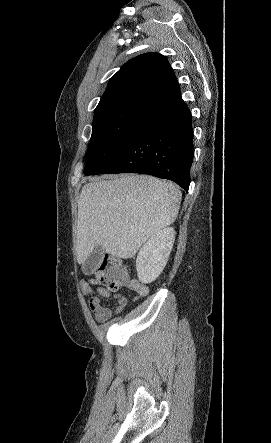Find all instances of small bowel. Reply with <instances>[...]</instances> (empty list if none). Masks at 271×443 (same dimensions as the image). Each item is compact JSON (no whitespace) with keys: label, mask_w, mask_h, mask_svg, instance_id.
Returning <instances> with one entry per match:
<instances>
[{"label":"small bowel","mask_w":271,"mask_h":443,"mask_svg":"<svg viewBox=\"0 0 271 443\" xmlns=\"http://www.w3.org/2000/svg\"><path fill=\"white\" fill-rule=\"evenodd\" d=\"M80 288L84 294L90 295L94 292V288L85 280L80 281ZM132 288L138 292L140 296H144L147 294V289L135 283L132 284ZM97 293L102 297H111V294L108 290L97 287ZM87 304L90 310L93 312L96 322L103 323L110 319L113 314L120 313L126 307V299L120 298L118 304L115 309L112 310L109 307H106L102 304L101 299L98 296H91L87 299Z\"/></svg>","instance_id":"small-bowel-1"}]
</instances>
